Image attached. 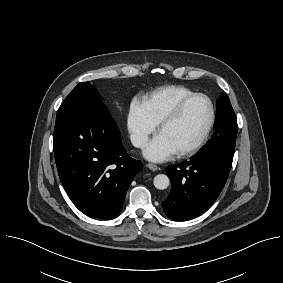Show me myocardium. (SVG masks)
<instances>
[{
    "label": "myocardium",
    "mask_w": 283,
    "mask_h": 283,
    "mask_svg": "<svg viewBox=\"0 0 283 283\" xmlns=\"http://www.w3.org/2000/svg\"><path fill=\"white\" fill-rule=\"evenodd\" d=\"M198 98H204L208 101L209 105H210V119L208 122V125L205 129V131L203 132L202 136L199 138V140L193 144L192 146L177 152V155L179 157H187V156H191L193 154H195L196 152H198L206 143L213 127L215 124V119H216V108H215V104L213 102V100L206 94L203 93H195L191 96L186 97L185 99H183L173 110L172 112L167 115L160 123H159V132H161L164 128H166L167 126H169L170 124L174 123L175 121H177L180 116L182 115L183 111L185 110V108L194 100L198 99Z\"/></svg>",
    "instance_id": "f54148a6"
}]
</instances>
